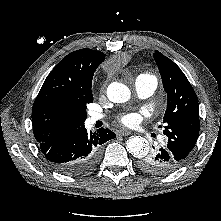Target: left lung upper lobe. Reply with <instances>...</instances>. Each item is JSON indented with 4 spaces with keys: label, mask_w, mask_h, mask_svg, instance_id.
<instances>
[{
    "label": "left lung upper lobe",
    "mask_w": 221,
    "mask_h": 221,
    "mask_svg": "<svg viewBox=\"0 0 221 221\" xmlns=\"http://www.w3.org/2000/svg\"><path fill=\"white\" fill-rule=\"evenodd\" d=\"M153 57L168 96L163 119V133L168 138L166 145L183 163L198 139V99L188 79L172 60L159 51H155Z\"/></svg>",
    "instance_id": "left-lung-upper-lobe-1"
}]
</instances>
